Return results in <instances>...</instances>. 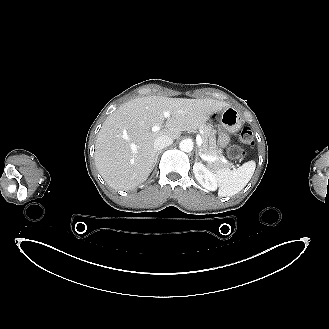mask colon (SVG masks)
Returning <instances> with one entry per match:
<instances>
[{"mask_svg":"<svg viewBox=\"0 0 329 329\" xmlns=\"http://www.w3.org/2000/svg\"><path fill=\"white\" fill-rule=\"evenodd\" d=\"M239 138L245 145H252L254 143L253 131L248 126L242 128ZM228 155L232 159H239L244 155V151L238 146L233 145L228 149Z\"/></svg>","mask_w":329,"mask_h":329,"instance_id":"colon-1","label":"colon"}]
</instances>
